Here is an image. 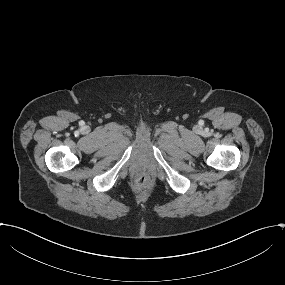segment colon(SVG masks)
<instances>
[{"instance_id":"5ec220e1","label":"colon","mask_w":285,"mask_h":285,"mask_svg":"<svg viewBox=\"0 0 285 285\" xmlns=\"http://www.w3.org/2000/svg\"><path fill=\"white\" fill-rule=\"evenodd\" d=\"M153 184V178L149 172L141 171L135 177V185L140 189H147Z\"/></svg>"}]
</instances>
